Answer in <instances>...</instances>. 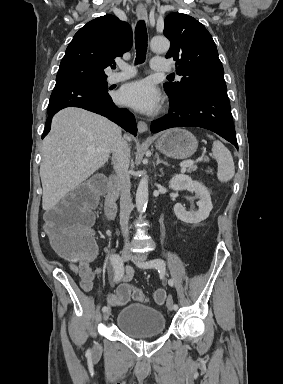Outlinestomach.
I'll return each instance as SVG.
<instances>
[{
    "instance_id": "0dacf381",
    "label": "stomach",
    "mask_w": 283,
    "mask_h": 384,
    "mask_svg": "<svg viewBox=\"0 0 283 384\" xmlns=\"http://www.w3.org/2000/svg\"><path fill=\"white\" fill-rule=\"evenodd\" d=\"M156 148L168 158L175 160H186L190 158L198 148V142L187 130H178L172 128L162 134L161 138L156 142Z\"/></svg>"
}]
</instances>
